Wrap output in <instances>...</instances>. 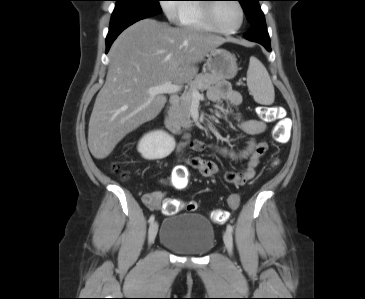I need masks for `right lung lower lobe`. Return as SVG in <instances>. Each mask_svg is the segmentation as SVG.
Returning a JSON list of instances; mask_svg holds the SVG:
<instances>
[{
	"instance_id": "98d812e1",
	"label": "right lung lower lobe",
	"mask_w": 365,
	"mask_h": 299,
	"mask_svg": "<svg viewBox=\"0 0 365 299\" xmlns=\"http://www.w3.org/2000/svg\"><path fill=\"white\" fill-rule=\"evenodd\" d=\"M153 15L154 14L130 15L124 18L112 20L110 22L109 33L106 38V52L109 51L114 40L124 29L141 19H145Z\"/></svg>"
}]
</instances>
